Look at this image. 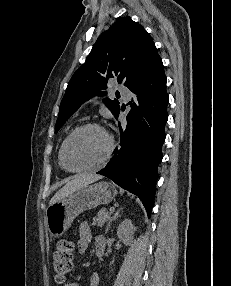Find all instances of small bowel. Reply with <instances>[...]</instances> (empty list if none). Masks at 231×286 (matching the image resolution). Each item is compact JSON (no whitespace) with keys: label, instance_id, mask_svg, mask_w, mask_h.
Instances as JSON below:
<instances>
[{"label":"small bowel","instance_id":"1","mask_svg":"<svg viewBox=\"0 0 231 286\" xmlns=\"http://www.w3.org/2000/svg\"><path fill=\"white\" fill-rule=\"evenodd\" d=\"M102 237L95 239L97 247L98 241L102 240ZM92 242V231L90 225L87 222H83L79 226V239L77 242V249L79 253H85ZM99 276L96 272H93L90 278V286H98ZM64 286H79L76 282H67Z\"/></svg>","mask_w":231,"mask_h":286}]
</instances>
